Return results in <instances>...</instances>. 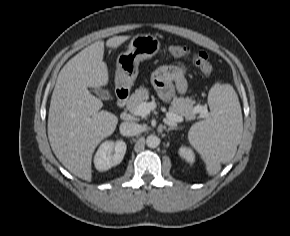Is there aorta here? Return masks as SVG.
<instances>
[{"label":"aorta","instance_id":"aorta-1","mask_svg":"<svg viewBox=\"0 0 290 236\" xmlns=\"http://www.w3.org/2000/svg\"><path fill=\"white\" fill-rule=\"evenodd\" d=\"M146 144L149 148H156L160 144V139L156 135H149Z\"/></svg>","mask_w":290,"mask_h":236}]
</instances>
